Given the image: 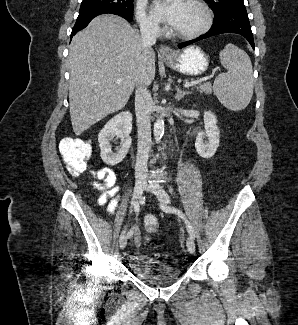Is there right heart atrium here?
I'll return each instance as SVG.
<instances>
[{"label":"right heart atrium","mask_w":298,"mask_h":325,"mask_svg":"<svg viewBox=\"0 0 298 325\" xmlns=\"http://www.w3.org/2000/svg\"><path fill=\"white\" fill-rule=\"evenodd\" d=\"M137 18L141 30H157L160 28L154 18L147 11L146 1H139L137 4Z\"/></svg>","instance_id":"obj_1"}]
</instances>
